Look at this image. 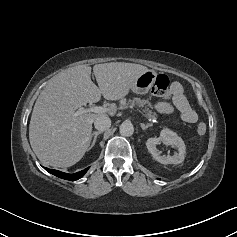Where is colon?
<instances>
[{
    "instance_id": "5ec220e1",
    "label": "colon",
    "mask_w": 237,
    "mask_h": 237,
    "mask_svg": "<svg viewBox=\"0 0 237 237\" xmlns=\"http://www.w3.org/2000/svg\"><path fill=\"white\" fill-rule=\"evenodd\" d=\"M169 79L166 75L160 74L155 78L153 87H152V92L153 94L163 97V98H168L169 97ZM207 127L204 122H200L197 125V132L199 135H204L206 133Z\"/></svg>"
}]
</instances>
